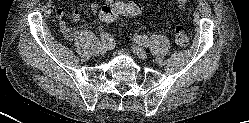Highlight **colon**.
<instances>
[{"label": "colon", "mask_w": 249, "mask_h": 123, "mask_svg": "<svg viewBox=\"0 0 249 123\" xmlns=\"http://www.w3.org/2000/svg\"><path fill=\"white\" fill-rule=\"evenodd\" d=\"M187 0H177V6L182 9ZM142 13V6L137 2H114L107 3L99 10V17L103 21H113L119 15L136 17ZM175 42L180 47L189 45V38L184 27L176 26L174 29Z\"/></svg>", "instance_id": "obj_1"}]
</instances>
